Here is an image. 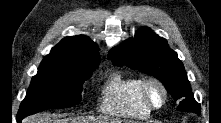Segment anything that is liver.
I'll use <instances>...</instances> for the list:
<instances>
[{
  "label": "liver",
  "mask_w": 221,
  "mask_h": 123,
  "mask_svg": "<svg viewBox=\"0 0 221 123\" xmlns=\"http://www.w3.org/2000/svg\"><path fill=\"white\" fill-rule=\"evenodd\" d=\"M92 121L90 119H71V118H64L58 119L55 116H51L49 114H37L30 117H27L23 120V123H88ZM107 121V120H105ZM110 123H122L120 120H110Z\"/></svg>",
  "instance_id": "6515ba94"
}]
</instances>
